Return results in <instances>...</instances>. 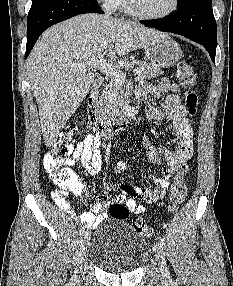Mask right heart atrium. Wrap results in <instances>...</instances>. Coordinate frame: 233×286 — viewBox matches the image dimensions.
<instances>
[{
  "label": "right heart atrium",
  "instance_id": "obj_1",
  "mask_svg": "<svg viewBox=\"0 0 233 286\" xmlns=\"http://www.w3.org/2000/svg\"><path fill=\"white\" fill-rule=\"evenodd\" d=\"M103 4V7L107 11H113L116 10V6L120 0H100Z\"/></svg>",
  "mask_w": 233,
  "mask_h": 286
}]
</instances>
